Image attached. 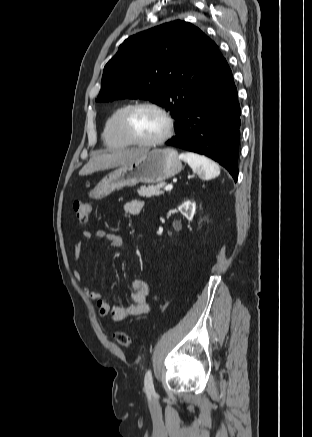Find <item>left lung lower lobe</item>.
Returning <instances> with one entry per match:
<instances>
[{
    "label": "left lung lower lobe",
    "instance_id": "1",
    "mask_svg": "<svg viewBox=\"0 0 312 437\" xmlns=\"http://www.w3.org/2000/svg\"><path fill=\"white\" fill-rule=\"evenodd\" d=\"M240 105L232 72L224 59L214 77L189 103L166 142L217 161L238 178Z\"/></svg>",
    "mask_w": 312,
    "mask_h": 437
}]
</instances>
